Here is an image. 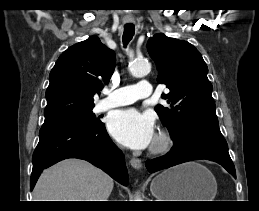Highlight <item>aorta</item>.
Segmentation results:
<instances>
[{"mask_svg": "<svg viewBox=\"0 0 259 211\" xmlns=\"http://www.w3.org/2000/svg\"><path fill=\"white\" fill-rule=\"evenodd\" d=\"M129 70L134 77H144L151 71V64L146 60H138L130 65Z\"/></svg>", "mask_w": 259, "mask_h": 211, "instance_id": "1", "label": "aorta"}]
</instances>
